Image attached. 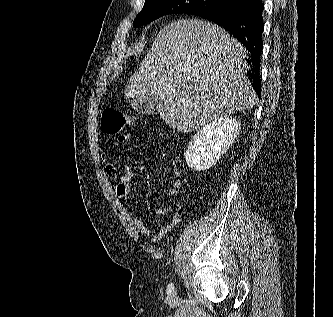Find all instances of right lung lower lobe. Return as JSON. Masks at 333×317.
<instances>
[{
	"label": "right lung lower lobe",
	"instance_id": "98d812e1",
	"mask_svg": "<svg viewBox=\"0 0 333 317\" xmlns=\"http://www.w3.org/2000/svg\"><path fill=\"white\" fill-rule=\"evenodd\" d=\"M264 4L262 0H231L220 7L196 14L219 25L237 38L251 53V84L261 96L260 57L263 48L262 33Z\"/></svg>",
	"mask_w": 333,
	"mask_h": 317
}]
</instances>
